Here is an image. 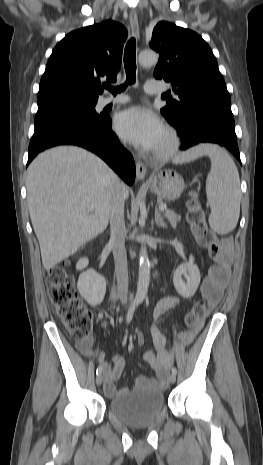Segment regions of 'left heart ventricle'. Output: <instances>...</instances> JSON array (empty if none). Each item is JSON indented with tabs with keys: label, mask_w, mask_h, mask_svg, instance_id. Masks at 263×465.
<instances>
[{
	"label": "left heart ventricle",
	"mask_w": 263,
	"mask_h": 465,
	"mask_svg": "<svg viewBox=\"0 0 263 465\" xmlns=\"http://www.w3.org/2000/svg\"><path fill=\"white\" fill-rule=\"evenodd\" d=\"M166 144V140H165V136L163 135V137L161 138L159 144L157 145V147L155 148V150L157 149H161L165 146Z\"/></svg>",
	"instance_id": "b2bd125f"
}]
</instances>
